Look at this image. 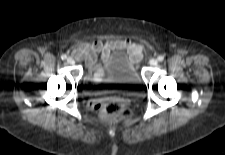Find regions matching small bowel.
Wrapping results in <instances>:
<instances>
[{
	"mask_svg": "<svg viewBox=\"0 0 225 155\" xmlns=\"http://www.w3.org/2000/svg\"><path fill=\"white\" fill-rule=\"evenodd\" d=\"M114 51H126L133 64H139L142 58L143 46L140 43H133L128 39L111 40L107 42L94 41L79 44L74 50L73 55L77 60L84 61L87 67L96 65L98 57L105 63L110 54ZM105 73L103 68L96 69L93 79L97 84L103 82Z\"/></svg>",
	"mask_w": 225,
	"mask_h": 155,
	"instance_id": "obj_1",
	"label": "small bowel"
}]
</instances>
